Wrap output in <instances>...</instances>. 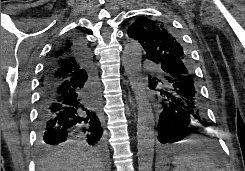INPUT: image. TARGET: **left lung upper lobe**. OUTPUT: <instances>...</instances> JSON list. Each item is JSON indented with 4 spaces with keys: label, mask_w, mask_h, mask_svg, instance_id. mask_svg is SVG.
Listing matches in <instances>:
<instances>
[{
    "label": "left lung upper lobe",
    "mask_w": 245,
    "mask_h": 171,
    "mask_svg": "<svg viewBox=\"0 0 245 171\" xmlns=\"http://www.w3.org/2000/svg\"><path fill=\"white\" fill-rule=\"evenodd\" d=\"M128 36L138 41L147 58L157 64L168 56L179 58L189 64L179 35L165 21L147 17L137 18L129 26Z\"/></svg>",
    "instance_id": "obj_1"
}]
</instances>
